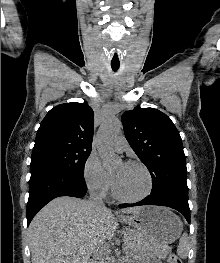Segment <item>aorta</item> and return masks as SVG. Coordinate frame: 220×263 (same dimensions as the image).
Instances as JSON below:
<instances>
[{
  "mask_svg": "<svg viewBox=\"0 0 220 263\" xmlns=\"http://www.w3.org/2000/svg\"><path fill=\"white\" fill-rule=\"evenodd\" d=\"M122 125L115 117L107 118L101 125L97 137V149L105 168L110 169L119 161L113 150V140Z\"/></svg>",
  "mask_w": 220,
  "mask_h": 263,
  "instance_id": "aorta-1",
  "label": "aorta"
}]
</instances>
